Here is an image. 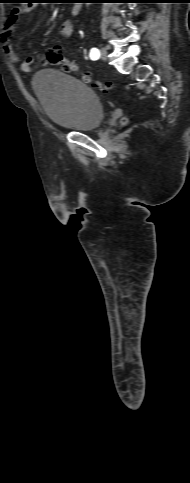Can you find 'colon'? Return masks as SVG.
<instances>
[{"instance_id": "5ec220e1", "label": "colon", "mask_w": 190, "mask_h": 483, "mask_svg": "<svg viewBox=\"0 0 190 483\" xmlns=\"http://www.w3.org/2000/svg\"><path fill=\"white\" fill-rule=\"evenodd\" d=\"M45 61L50 65L60 67L64 72L67 73L78 71L77 65L73 61L65 58L58 50L48 51L45 54ZM80 77L86 83L91 82V78L88 73H80ZM95 85L102 91H108L111 88V84L109 83H97Z\"/></svg>"}]
</instances>
